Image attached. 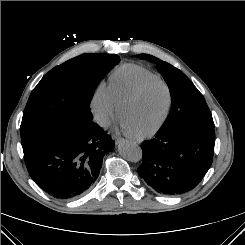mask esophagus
Masks as SVG:
<instances>
[{
	"mask_svg": "<svg viewBox=\"0 0 245 245\" xmlns=\"http://www.w3.org/2000/svg\"><path fill=\"white\" fill-rule=\"evenodd\" d=\"M114 141L116 144H119L120 142L124 141V138L120 137V136H114Z\"/></svg>",
	"mask_w": 245,
	"mask_h": 245,
	"instance_id": "obj_1",
	"label": "esophagus"
}]
</instances>
